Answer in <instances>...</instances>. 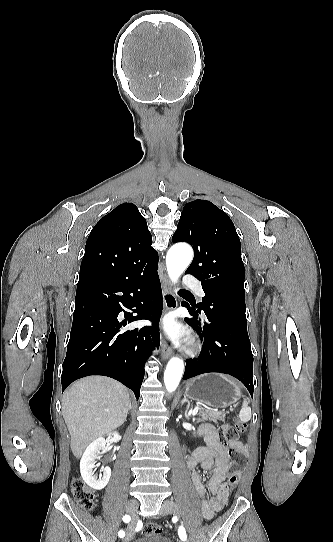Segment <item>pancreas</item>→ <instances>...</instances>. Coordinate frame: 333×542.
I'll use <instances>...</instances> for the list:
<instances>
[{"mask_svg":"<svg viewBox=\"0 0 333 542\" xmlns=\"http://www.w3.org/2000/svg\"><path fill=\"white\" fill-rule=\"evenodd\" d=\"M227 412H216V410H206V408H200L198 416H201L199 420H211V422H217L222 420L224 422Z\"/></svg>","mask_w":333,"mask_h":542,"instance_id":"pancreas-1","label":"pancreas"}]
</instances>
